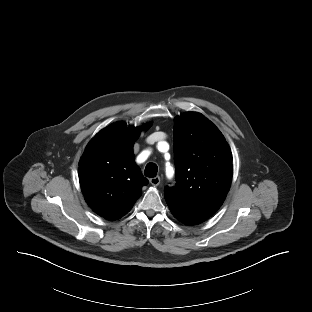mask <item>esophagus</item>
Returning <instances> with one entry per match:
<instances>
[{
    "label": "esophagus",
    "mask_w": 312,
    "mask_h": 312,
    "mask_svg": "<svg viewBox=\"0 0 312 312\" xmlns=\"http://www.w3.org/2000/svg\"><path fill=\"white\" fill-rule=\"evenodd\" d=\"M149 181L153 186H158L160 184V177L156 176V177L150 178Z\"/></svg>",
    "instance_id": "esophagus-1"
}]
</instances>
